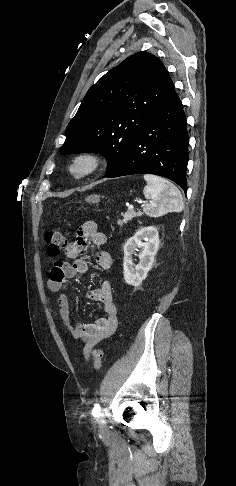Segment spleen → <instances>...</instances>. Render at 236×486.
<instances>
[{"mask_svg": "<svg viewBox=\"0 0 236 486\" xmlns=\"http://www.w3.org/2000/svg\"><path fill=\"white\" fill-rule=\"evenodd\" d=\"M147 185L143 194L148 202L143 211L149 216H160L168 212H181L184 202L179 189L170 181L152 174H145Z\"/></svg>", "mask_w": 236, "mask_h": 486, "instance_id": "obj_1", "label": "spleen"}]
</instances>
